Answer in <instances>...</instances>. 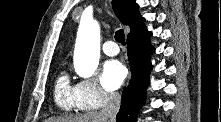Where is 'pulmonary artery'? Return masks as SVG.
<instances>
[{
	"label": "pulmonary artery",
	"instance_id": "e3ab8cb5",
	"mask_svg": "<svg viewBox=\"0 0 221 122\" xmlns=\"http://www.w3.org/2000/svg\"><path fill=\"white\" fill-rule=\"evenodd\" d=\"M102 49L108 56H115L119 53V47L114 41H106L103 44Z\"/></svg>",
	"mask_w": 221,
	"mask_h": 122
}]
</instances>
